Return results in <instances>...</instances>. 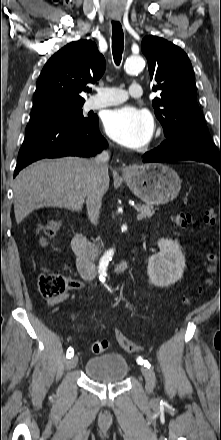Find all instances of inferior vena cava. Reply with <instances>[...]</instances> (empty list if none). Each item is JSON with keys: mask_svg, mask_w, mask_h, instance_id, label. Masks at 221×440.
<instances>
[{"mask_svg": "<svg viewBox=\"0 0 221 440\" xmlns=\"http://www.w3.org/2000/svg\"><path fill=\"white\" fill-rule=\"evenodd\" d=\"M108 163L109 153L107 151H103L90 160L91 179L86 205L88 217L94 225L98 224L105 183L109 179Z\"/></svg>", "mask_w": 221, "mask_h": 440, "instance_id": "inferior-vena-cava-1", "label": "inferior vena cava"}]
</instances>
